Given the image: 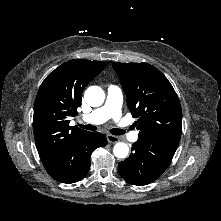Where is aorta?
<instances>
[{"mask_svg":"<svg viewBox=\"0 0 221 221\" xmlns=\"http://www.w3.org/2000/svg\"><path fill=\"white\" fill-rule=\"evenodd\" d=\"M84 98L88 105L98 107L103 104L105 93L99 86H90L86 89ZM113 153L117 158H126L129 153V147L124 142H118L114 145Z\"/></svg>","mask_w":221,"mask_h":221,"instance_id":"762f6f07","label":"aorta"}]
</instances>
